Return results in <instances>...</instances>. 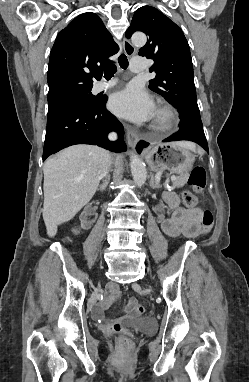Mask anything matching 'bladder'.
Listing matches in <instances>:
<instances>
[{
    "label": "bladder",
    "mask_w": 249,
    "mask_h": 382,
    "mask_svg": "<svg viewBox=\"0 0 249 382\" xmlns=\"http://www.w3.org/2000/svg\"><path fill=\"white\" fill-rule=\"evenodd\" d=\"M121 324L124 328L134 329L144 333H151L156 329L155 322L150 317L124 318L121 320Z\"/></svg>",
    "instance_id": "obj_1"
}]
</instances>
